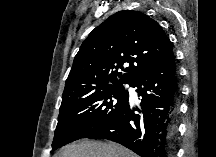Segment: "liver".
Returning a JSON list of instances; mask_svg holds the SVG:
<instances>
[{"label":"liver","instance_id":"6515ba94","mask_svg":"<svg viewBox=\"0 0 216 157\" xmlns=\"http://www.w3.org/2000/svg\"><path fill=\"white\" fill-rule=\"evenodd\" d=\"M56 157H136V154L114 142L83 141L65 146Z\"/></svg>","mask_w":216,"mask_h":157}]
</instances>
